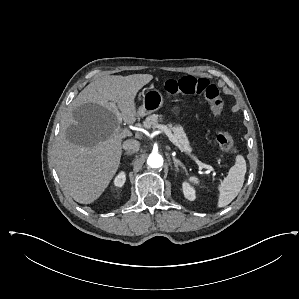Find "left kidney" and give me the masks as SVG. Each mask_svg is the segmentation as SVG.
Masks as SVG:
<instances>
[{
	"instance_id": "1",
	"label": "left kidney",
	"mask_w": 299,
	"mask_h": 299,
	"mask_svg": "<svg viewBox=\"0 0 299 299\" xmlns=\"http://www.w3.org/2000/svg\"><path fill=\"white\" fill-rule=\"evenodd\" d=\"M182 189H183V193H184V196L190 200V201H194L195 198H196V195H195V190L193 187H191L187 182H184L182 184Z\"/></svg>"
}]
</instances>
